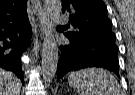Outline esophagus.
I'll return each instance as SVG.
<instances>
[{"instance_id":"esophagus-1","label":"esophagus","mask_w":135,"mask_h":95,"mask_svg":"<svg viewBox=\"0 0 135 95\" xmlns=\"http://www.w3.org/2000/svg\"><path fill=\"white\" fill-rule=\"evenodd\" d=\"M33 7H34V12L37 15V18L40 21V31L41 34L44 32V20L42 17V7H41V2L39 0L33 1Z\"/></svg>"}]
</instances>
